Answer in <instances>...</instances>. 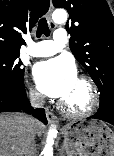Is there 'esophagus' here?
<instances>
[{
    "mask_svg": "<svg viewBox=\"0 0 114 156\" xmlns=\"http://www.w3.org/2000/svg\"><path fill=\"white\" fill-rule=\"evenodd\" d=\"M52 12H53V5L52 3H50V7L48 9V12H47V20H48V23L50 25V27H55V24L52 20ZM46 117H47V120L49 123H56L57 122V117L55 116L54 113H52L51 111L49 110H46Z\"/></svg>",
    "mask_w": 114,
    "mask_h": 156,
    "instance_id": "esophagus-1",
    "label": "esophagus"
}]
</instances>
